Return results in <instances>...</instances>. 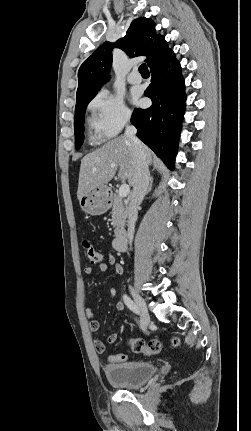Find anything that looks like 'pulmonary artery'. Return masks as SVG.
I'll list each match as a JSON object with an SVG mask.
<instances>
[{
	"label": "pulmonary artery",
	"mask_w": 251,
	"mask_h": 431,
	"mask_svg": "<svg viewBox=\"0 0 251 431\" xmlns=\"http://www.w3.org/2000/svg\"><path fill=\"white\" fill-rule=\"evenodd\" d=\"M127 80L131 84H138V83H140L142 81V77L139 74V72L136 69H134L133 71H131L128 74Z\"/></svg>",
	"instance_id": "obj_1"
}]
</instances>
